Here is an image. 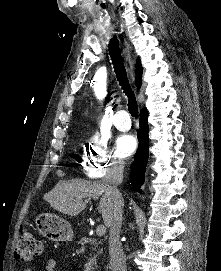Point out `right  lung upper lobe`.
Listing matches in <instances>:
<instances>
[{
	"mask_svg": "<svg viewBox=\"0 0 221 271\" xmlns=\"http://www.w3.org/2000/svg\"><path fill=\"white\" fill-rule=\"evenodd\" d=\"M135 74H136V78H135L136 86L140 88L141 82H142V66H141V62L139 58H137V61H136Z\"/></svg>",
	"mask_w": 221,
	"mask_h": 271,
	"instance_id": "cb5924a9",
	"label": "right lung upper lobe"
}]
</instances>
